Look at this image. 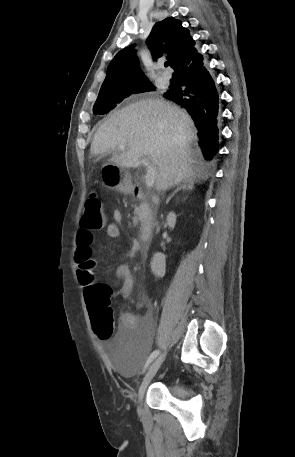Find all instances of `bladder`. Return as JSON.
Wrapping results in <instances>:
<instances>
[{
	"label": "bladder",
	"mask_w": 295,
	"mask_h": 457,
	"mask_svg": "<svg viewBox=\"0 0 295 457\" xmlns=\"http://www.w3.org/2000/svg\"><path fill=\"white\" fill-rule=\"evenodd\" d=\"M152 338H110L114 365L120 371L136 372L145 360H154Z\"/></svg>",
	"instance_id": "31cf9c89"
}]
</instances>
